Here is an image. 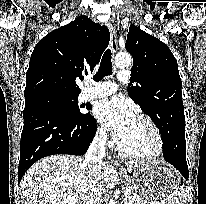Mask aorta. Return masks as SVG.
Here are the masks:
<instances>
[{"mask_svg": "<svg viewBox=\"0 0 206 204\" xmlns=\"http://www.w3.org/2000/svg\"><path fill=\"white\" fill-rule=\"evenodd\" d=\"M114 62L118 68H126L132 64V57L128 53H118Z\"/></svg>", "mask_w": 206, "mask_h": 204, "instance_id": "obj_1", "label": "aorta"}]
</instances>
